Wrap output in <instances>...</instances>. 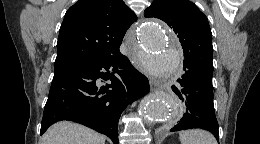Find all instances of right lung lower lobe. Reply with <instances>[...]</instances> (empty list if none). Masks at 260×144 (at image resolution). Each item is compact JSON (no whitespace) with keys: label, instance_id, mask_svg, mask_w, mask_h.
<instances>
[{"label":"right lung lower lobe","instance_id":"right-lung-lower-lobe-1","mask_svg":"<svg viewBox=\"0 0 260 144\" xmlns=\"http://www.w3.org/2000/svg\"><path fill=\"white\" fill-rule=\"evenodd\" d=\"M111 69L113 73L103 70ZM98 79L111 81L101 86ZM148 79L120 53L55 71L46 102L41 135L61 120H70L118 142L122 111L149 92Z\"/></svg>","mask_w":260,"mask_h":144}]
</instances>
